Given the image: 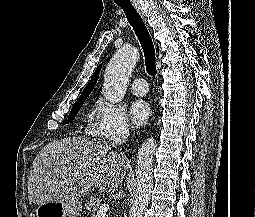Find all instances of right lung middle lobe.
I'll use <instances>...</instances> for the list:
<instances>
[{
  "label": "right lung middle lobe",
  "mask_w": 255,
  "mask_h": 217,
  "mask_svg": "<svg viewBox=\"0 0 255 217\" xmlns=\"http://www.w3.org/2000/svg\"><path fill=\"white\" fill-rule=\"evenodd\" d=\"M89 94L90 93L84 94L77 99V101L75 102V104L73 105L69 113L68 122H70L77 115V113L79 112L81 106L83 105L84 101L89 96Z\"/></svg>",
  "instance_id": "dd1d6c3e"
}]
</instances>
